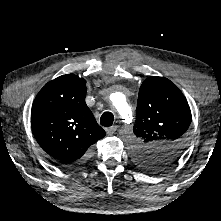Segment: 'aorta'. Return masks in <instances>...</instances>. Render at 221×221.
Segmentation results:
<instances>
[{
    "label": "aorta",
    "mask_w": 221,
    "mask_h": 221,
    "mask_svg": "<svg viewBox=\"0 0 221 221\" xmlns=\"http://www.w3.org/2000/svg\"><path fill=\"white\" fill-rule=\"evenodd\" d=\"M113 103L125 125L131 126L134 120V116L124 94L120 92L115 93Z\"/></svg>",
    "instance_id": "1"
}]
</instances>
